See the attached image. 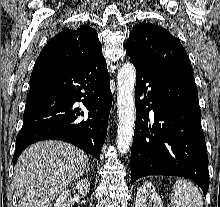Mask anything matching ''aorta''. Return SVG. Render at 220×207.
Masks as SVG:
<instances>
[{
    "instance_id": "1",
    "label": "aorta",
    "mask_w": 220,
    "mask_h": 207,
    "mask_svg": "<svg viewBox=\"0 0 220 207\" xmlns=\"http://www.w3.org/2000/svg\"><path fill=\"white\" fill-rule=\"evenodd\" d=\"M117 82V109L119 118L117 148L120 154H126L133 141L136 115L134 100L136 70L133 64L128 62L121 67Z\"/></svg>"
}]
</instances>
